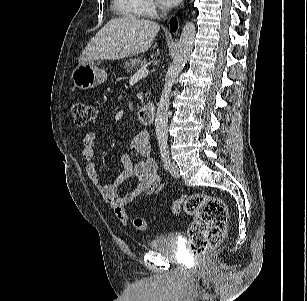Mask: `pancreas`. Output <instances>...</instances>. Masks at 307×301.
I'll return each instance as SVG.
<instances>
[{"label":"pancreas","instance_id":"pancreas-1","mask_svg":"<svg viewBox=\"0 0 307 301\" xmlns=\"http://www.w3.org/2000/svg\"><path fill=\"white\" fill-rule=\"evenodd\" d=\"M147 60L143 58L142 56L130 58L129 61L124 63V69H126L127 72H132L136 70L138 67L146 66Z\"/></svg>","mask_w":307,"mask_h":301}]
</instances>
